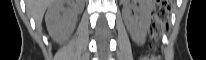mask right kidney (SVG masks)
I'll list each match as a JSON object with an SVG mask.
<instances>
[{
	"mask_svg": "<svg viewBox=\"0 0 206 60\" xmlns=\"http://www.w3.org/2000/svg\"><path fill=\"white\" fill-rule=\"evenodd\" d=\"M80 3L74 0H56L50 4L45 16L50 35L62 41L75 26V18L79 13Z\"/></svg>",
	"mask_w": 206,
	"mask_h": 60,
	"instance_id": "ca27d5eb",
	"label": "right kidney"
}]
</instances>
